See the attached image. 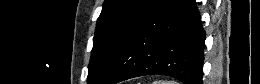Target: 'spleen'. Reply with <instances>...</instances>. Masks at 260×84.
Instances as JSON below:
<instances>
[{"instance_id": "spleen-1", "label": "spleen", "mask_w": 260, "mask_h": 84, "mask_svg": "<svg viewBox=\"0 0 260 84\" xmlns=\"http://www.w3.org/2000/svg\"><path fill=\"white\" fill-rule=\"evenodd\" d=\"M153 84H178L176 81H164V80H160V81H154Z\"/></svg>"}]
</instances>
